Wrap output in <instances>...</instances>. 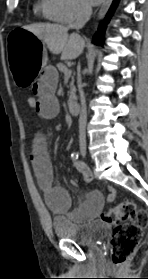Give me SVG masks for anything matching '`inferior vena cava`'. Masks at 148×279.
Returning <instances> with one entry per match:
<instances>
[{
	"instance_id": "1",
	"label": "inferior vena cava",
	"mask_w": 148,
	"mask_h": 279,
	"mask_svg": "<svg viewBox=\"0 0 148 279\" xmlns=\"http://www.w3.org/2000/svg\"><path fill=\"white\" fill-rule=\"evenodd\" d=\"M92 15L91 7L87 5H81L77 11V17L75 23L70 25V28L79 30L84 27V25L89 21ZM78 71L80 72V67H78ZM80 92H81V111L79 117V142L80 147H86V123H87V110H86V100L84 93L81 89L80 85Z\"/></svg>"
}]
</instances>
